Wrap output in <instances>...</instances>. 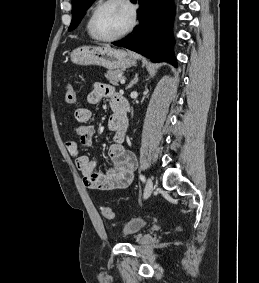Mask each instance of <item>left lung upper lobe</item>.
Returning a JSON list of instances; mask_svg holds the SVG:
<instances>
[{
	"instance_id": "left-lung-upper-lobe-1",
	"label": "left lung upper lobe",
	"mask_w": 259,
	"mask_h": 283,
	"mask_svg": "<svg viewBox=\"0 0 259 283\" xmlns=\"http://www.w3.org/2000/svg\"><path fill=\"white\" fill-rule=\"evenodd\" d=\"M94 0H72V22L69 31L75 29L80 23L85 11Z\"/></svg>"
}]
</instances>
